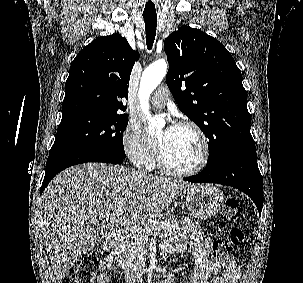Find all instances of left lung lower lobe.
I'll return each mask as SVG.
<instances>
[{
    "label": "left lung lower lobe",
    "mask_w": 303,
    "mask_h": 283,
    "mask_svg": "<svg viewBox=\"0 0 303 283\" xmlns=\"http://www.w3.org/2000/svg\"><path fill=\"white\" fill-rule=\"evenodd\" d=\"M194 183H217L235 187L246 193L261 214L263 207V179L257 164L255 147L232 152L199 174L184 178Z\"/></svg>",
    "instance_id": "obj_1"
}]
</instances>
